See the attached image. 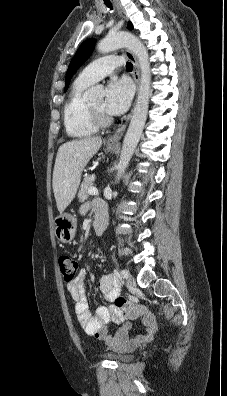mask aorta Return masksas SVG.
<instances>
[{
  "label": "aorta",
  "instance_id": "aorta-1",
  "mask_svg": "<svg viewBox=\"0 0 227 396\" xmlns=\"http://www.w3.org/2000/svg\"><path fill=\"white\" fill-rule=\"evenodd\" d=\"M121 47L128 48L136 55L141 70V78L131 122L123 140L120 160L117 166V181L120 180L127 168L141 137L147 118L151 85V69L148 51L137 37L126 32L110 33L97 45V49L100 53H109ZM86 94L88 97H97L99 89L92 88L88 90Z\"/></svg>",
  "mask_w": 227,
  "mask_h": 396
}]
</instances>
